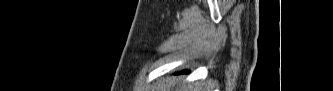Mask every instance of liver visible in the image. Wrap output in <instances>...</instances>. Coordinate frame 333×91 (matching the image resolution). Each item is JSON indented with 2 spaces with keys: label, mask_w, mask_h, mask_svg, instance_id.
I'll return each instance as SVG.
<instances>
[{
  "label": "liver",
  "mask_w": 333,
  "mask_h": 91,
  "mask_svg": "<svg viewBox=\"0 0 333 91\" xmlns=\"http://www.w3.org/2000/svg\"><path fill=\"white\" fill-rule=\"evenodd\" d=\"M183 90L181 91H202V85L199 84H194V85H187L182 88ZM204 89H209V86H205ZM203 91H209V90H203Z\"/></svg>",
  "instance_id": "liver-1"
}]
</instances>
